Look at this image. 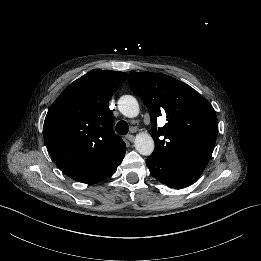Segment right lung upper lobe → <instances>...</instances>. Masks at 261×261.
I'll use <instances>...</instances> for the list:
<instances>
[{
	"mask_svg": "<svg viewBox=\"0 0 261 261\" xmlns=\"http://www.w3.org/2000/svg\"><path fill=\"white\" fill-rule=\"evenodd\" d=\"M125 78L123 72L92 70L71 83L50 107L44 142L70 178L91 183L122 161L126 145L113 131L108 103Z\"/></svg>",
	"mask_w": 261,
	"mask_h": 261,
	"instance_id": "obj_1",
	"label": "right lung upper lobe"
}]
</instances>
